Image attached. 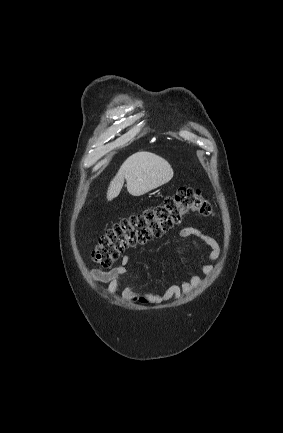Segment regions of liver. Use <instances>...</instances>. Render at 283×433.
I'll list each match as a JSON object with an SVG mask.
<instances>
[{
    "mask_svg": "<svg viewBox=\"0 0 283 433\" xmlns=\"http://www.w3.org/2000/svg\"><path fill=\"white\" fill-rule=\"evenodd\" d=\"M173 176V168L168 160L154 152H135L121 164L117 174L112 178L107 198L112 200L118 196L126 178L128 192L133 196H141L165 182Z\"/></svg>",
    "mask_w": 283,
    "mask_h": 433,
    "instance_id": "obj_1",
    "label": "liver"
}]
</instances>
